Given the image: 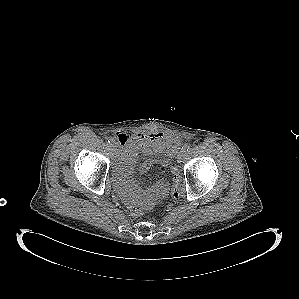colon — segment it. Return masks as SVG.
I'll list each match as a JSON object with an SVG mask.
<instances>
[{"instance_id": "5ec220e1", "label": "colon", "mask_w": 299, "mask_h": 299, "mask_svg": "<svg viewBox=\"0 0 299 299\" xmlns=\"http://www.w3.org/2000/svg\"><path fill=\"white\" fill-rule=\"evenodd\" d=\"M171 172L173 175V185L171 188V196L173 198H178L182 192L183 179H182V174H181L180 168L176 163H173L171 165ZM128 212L132 217H139L143 214V209H142V207H140L138 205H133V206L129 207Z\"/></svg>"}]
</instances>
